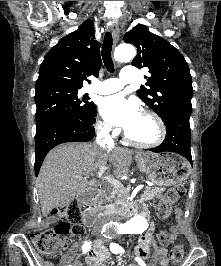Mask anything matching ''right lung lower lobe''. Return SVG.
Listing matches in <instances>:
<instances>
[{
	"instance_id": "right-lung-lower-lobe-1",
	"label": "right lung lower lobe",
	"mask_w": 221,
	"mask_h": 266,
	"mask_svg": "<svg viewBox=\"0 0 221 266\" xmlns=\"http://www.w3.org/2000/svg\"><path fill=\"white\" fill-rule=\"evenodd\" d=\"M92 122L60 119L36 131L35 174L37 175L46 154L55 146L74 141H89L95 136Z\"/></svg>"
}]
</instances>
